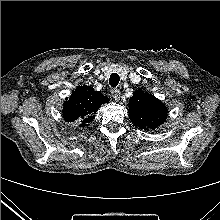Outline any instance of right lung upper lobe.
Segmentation results:
<instances>
[{
    "instance_id": "right-lung-upper-lobe-1",
    "label": "right lung upper lobe",
    "mask_w": 220,
    "mask_h": 220,
    "mask_svg": "<svg viewBox=\"0 0 220 220\" xmlns=\"http://www.w3.org/2000/svg\"><path fill=\"white\" fill-rule=\"evenodd\" d=\"M108 101L107 96H102L91 86H78L64 103L63 117L67 122L77 120L81 127L88 126L99 107Z\"/></svg>"
}]
</instances>
